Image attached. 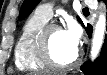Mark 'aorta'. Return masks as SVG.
Wrapping results in <instances>:
<instances>
[{
	"label": "aorta",
	"mask_w": 107,
	"mask_h": 75,
	"mask_svg": "<svg viewBox=\"0 0 107 75\" xmlns=\"http://www.w3.org/2000/svg\"><path fill=\"white\" fill-rule=\"evenodd\" d=\"M105 31H106V15L104 12H102L99 15L93 34L92 47H91L92 59H95L99 54V51L104 42Z\"/></svg>",
	"instance_id": "1"
}]
</instances>
